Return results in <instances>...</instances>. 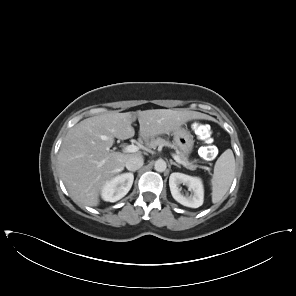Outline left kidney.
<instances>
[{
	"label": "left kidney",
	"mask_w": 296,
	"mask_h": 296,
	"mask_svg": "<svg viewBox=\"0 0 296 296\" xmlns=\"http://www.w3.org/2000/svg\"><path fill=\"white\" fill-rule=\"evenodd\" d=\"M180 184L186 185L193 192V195L184 196L181 194ZM169 186L173 198L178 203L191 208H198L203 204L204 188L202 180L199 177L174 172L170 175Z\"/></svg>",
	"instance_id": "obj_1"
}]
</instances>
